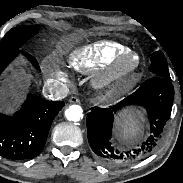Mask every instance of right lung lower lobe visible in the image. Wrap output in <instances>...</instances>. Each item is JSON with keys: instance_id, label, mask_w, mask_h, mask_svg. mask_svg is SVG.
<instances>
[{"instance_id": "obj_1", "label": "right lung lower lobe", "mask_w": 183, "mask_h": 183, "mask_svg": "<svg viewBox=\"0 0 183 183\" xmlns=\"http://www.w3.org/2000/svg\"><path fill=\"white\" fill-rule=\"evenodd\" d=\"M20 53L39 69L32 56L18 50L0 58V74ZM63 106V102L47 101L29 94L14 115L0 113V156L20 160L39 155L46 143L52 121Z\"/></svg>"}]
</instances>
